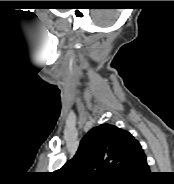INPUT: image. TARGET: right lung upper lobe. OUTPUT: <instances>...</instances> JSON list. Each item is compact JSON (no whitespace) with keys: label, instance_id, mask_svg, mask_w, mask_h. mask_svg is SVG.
<instances>
[{"label":"right lung upper lobe","instance_id":"cb5924a9","mask_svg":"<svg viewBox=\"0 0 174 184\" xmlns=\"http://www.w3.org/2000/svg\"><path fill=\"white\" fill-rule=\"evenodd\" d=\"M144 158L139 142L128 131L102 124L82 138L76 155L56 174L64 182L117 183Z\"/></svg>","mask_w":174,"mask_h":184}]
</instances>
